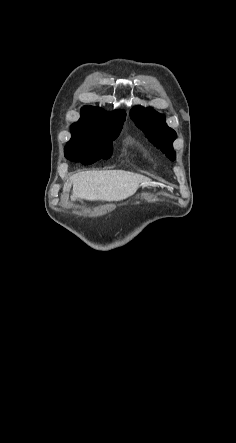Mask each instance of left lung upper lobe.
Masks as SVG:
<instances>
[{
	"instance_id": "1",
	"label": "left lung upper lobe",
	"mask_w": 236,
	"mask_h": 443,
	"mask_svg": "<svg viewBox=\"0 0 236 443\" xmlns=\"http://www.w3.org/2000/svg\"><path fill=\"white\" fill-rule=\"evenodd\" d=\"M130 117L136 126L150 138V140L162 150L166 156L174 161L176 154L173 149V141L176 139V132L169 128L162 114L150 108L136 107L130 112Z\"/></svg>"
}]
</instances>
